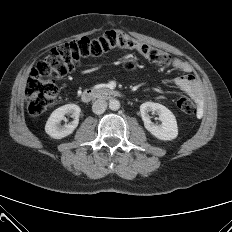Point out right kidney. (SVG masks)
Here are the masks:
<instances>
[{"instance_id":"right-kidney-1","label":"right kidney","mask_w":232,"mask_h":232,"mask_svg":"<svg viewBox=\"0 0 232 232\" xmlns=\"http://www.w3.org/2000/svg\"><path fill=\"white\" fill-rule=\"evenodd\" d=\"M81 109L75 104L63 105L52 112L45 125L46 133L54 139H62L73 133L79 123ZM65 115H71L74 120L65 125H61V121L65 120Z\"/></svg>"}]
</instances>
